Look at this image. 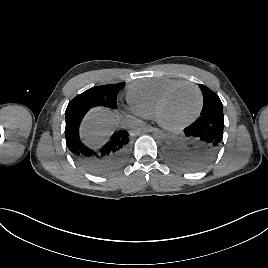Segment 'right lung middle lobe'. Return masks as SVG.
Masks as SVG:
<instances>
[{
    "label": "right lung middle lobe",
    "instance_id": "1",
    "mask_svg": "<svg viewBox=\"0 0 268 268\" xmlns=\"http://www.w3.org/2000/svg\"><path fill=\"white\" fill-rule=\"evenodd\" d=\"M125 83L108 84L92 87L76 96L68 107L78 103H89L94 106L102 105L108 108H117V94Z\"/></svg>",
    "mask_w": 268,
    "mask_h": 268
}]
</instances>
